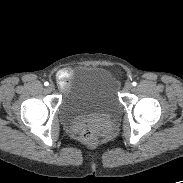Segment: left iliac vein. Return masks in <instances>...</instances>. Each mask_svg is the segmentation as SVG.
Instances as JSON below:
<instances>
[{
    "instance_id": "1",
    "label": "left iliac vein",
    "mask_w": 183,
    "mask_h": 183,
    "mask_svg": "<svg viewBox=\"0 0 183 183\" xmlns=\"http://www.w3.org/2000/svg\"><path fill=\"white\" fill-rule=\"evenodd\" d=\"M124 88L125 90L129 91L132 89V84L130 82H126Z\"/></svg>"
}]
</instances>
